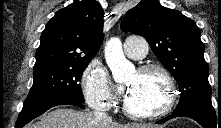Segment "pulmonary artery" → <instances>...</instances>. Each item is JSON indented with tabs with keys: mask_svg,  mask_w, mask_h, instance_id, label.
Returning <instances> with one entry per match:
<instances>
[{
	"mask_svg": "<svg viewBox=\"0 0 221 128\" xmlns=\"http://www.w3.org/2000/svg\"><path fill=\"white\" fill-rule=\"evenodd\" d=\"M148 49V43L142 36L131 35L127 37L124 43V51L131 59H140L144 57Z\"/></svg>",
	"mask_w": 221,
	"mask_h": 128,
	"instance_id": "obj_1",
	"label": "pulmonary artery"
}]
</instances>
